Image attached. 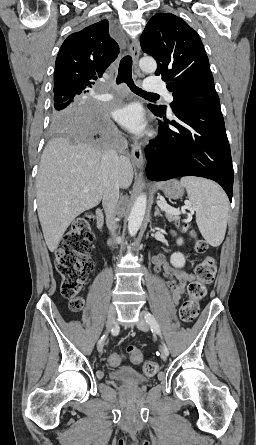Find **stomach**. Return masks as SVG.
<instances>
[{"label":"stomach","instance_id":"0dacf381","mask_svg":"<svg viewBox=\"0 0 256 445\" xmlns=\"http://www.w3.org/2000/svg\"><path fill=\"white\" fill-rule=\"evenodd\" d=\"M163 193L170 199H179L184 194V188L177 180L166 182L162 188Z\"/></svg>","mask_w":256,"mask_h":445}]
</instances>
